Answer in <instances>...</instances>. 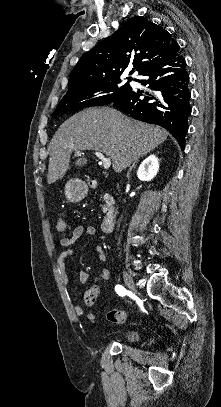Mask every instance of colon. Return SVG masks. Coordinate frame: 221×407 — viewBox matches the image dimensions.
I'll list each match as a JSON object with an SVG mask.
<instances>
[{
    "instance_id": "1",
    "label": "colon",
    "mask_w": 221,
    "mask_h": 407,
    "mask_svg": "<svg viewBox=\"0 0 221 407\" xmlns=\"http://www.w3.org/2000/svg\"><path fill=\"white\" fill-rule=\"evenodd\" d=\"M56 230L59 233H65L68 230V223L64 217H60L56 224ZM97 300V287L93 285L86 292L85 303L88 306L94 305ZM108 319L115 324H122L125 320V312L121 309H110L107 313Z\"/></svg>"
}]
</instances>
